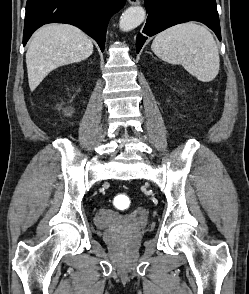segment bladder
<instances>
[{"label": "bladder", "mask_w": 249, "mask_h": 294, "mask_svg": "<svg viewBox=\"0 0 249 294\" xmlns=\"http://www.w3.org/2000/svg\"><path fill=\"white\" fill-rule=\"evenodd\" d=\"M97 220L100 222V223H105V227L106 228H110L114 223H116L117 221H119L120 219L118 218H115L113 216H105V217H101L99 216L97 218Z\"/></svg>", "instance_id": "1"}]
</instances>
